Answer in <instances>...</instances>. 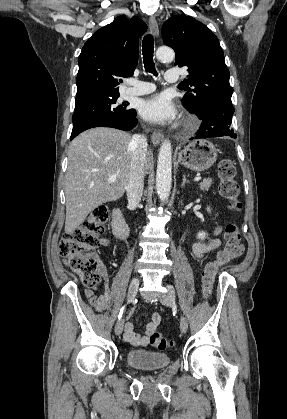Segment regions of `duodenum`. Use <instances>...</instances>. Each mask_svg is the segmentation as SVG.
<instances>
[{
  "mask_svg": "<svg viewBox=\"0 0 287 419\" xmlns=\"http://www.w3.org/2000/svg\"><path fill=\"white\" fill-rule=\"evenodd\" d=\"M112 230L115 237L121 241H125L129 235L128 223L119 209L114 211Z\"/></svg>",
  "mask_w": 287,
  "mask_h": 419,
  "instance_id": "410a0bca",
  "label": "duodenum"
}]
</instances>
